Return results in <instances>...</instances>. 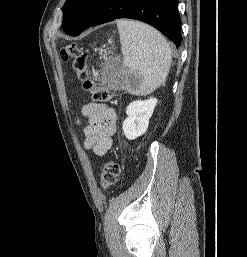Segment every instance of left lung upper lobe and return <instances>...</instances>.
Masks as SVG:
<instances>
[{
    "label": "left lung upper lobe",
    "mask_w": 247,
    "mask_h": 257,
    "mask_svg": "<svg viewBox=\"0 0 247 257\" xmlns=\"http://www.w3.org/2000/svg\"><path fill=\"white\" fill-rule=\"evenodd\" d=\"M99 0H66L63 6L62 28L71 35L78 31L90 11Z\"/></svg>",
    "instance_id": "5c2ea615"
}]
</instances>
